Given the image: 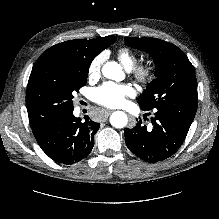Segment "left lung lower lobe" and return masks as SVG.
Returning <instances> with one entry per match:
<instances>
[{
    "instance_id": "left-lung-lower-lobe-1",
    "label": "left lung lower lobe",
    "mask_w": 219,
    "mask_h": 219,
    "mask_svg": "<svg viewBox=\"0 0 219 219\" xmlns=\"http://www.w3.org/2000/svg\"><path fill=\"white\" fill-rule=\"evenodd\" d=\"M197 105L198 100H185L171 106L155 108V117L151 118L152 127L147 128L140 121L133 129L125 128L127 147L148 162L169 158L184 142Z\"/></svg>"
}]
</instances>
